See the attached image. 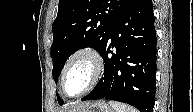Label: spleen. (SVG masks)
I'll return each instance as SVG.
<instances>
[{"instance_id":"spleen-1","label":"spleen","mask_w":193,"mask_h":112,"mask_svg":"<svg viewBox=\"0 0 193 112\" xmlns=\"http://www.w3.org/2000/svg\"><path fill=\"white\" fill-rule=\"evenodd\" d=\"M109 105L116 111V112H138L135 108L128 106L123 103L109 101Z\"/></svg>"}]
</instances>
